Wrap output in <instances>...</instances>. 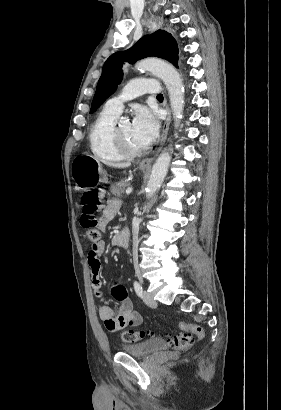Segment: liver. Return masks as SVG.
I'll return each mask as SVG.
<instances>
[{"label": "liver", "instance_id": "liver-1", "mask_svg": "<svg viewBox=\"0 0 281 410\" xmlns=\"http://www.w3.org/2000/svg\"><path fill=\"white\" fill-rule=\"evenodd\" d=\"M100 161V160H99ZM107 166L114 167V168H127L131 165V163H112V162H104Z\"/></svg>", "mask_w": 281, "mask_h": 410}]
</instances>
